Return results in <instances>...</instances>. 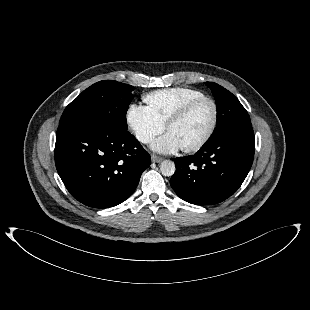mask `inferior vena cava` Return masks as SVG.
I'll return each instance as SVG.
<instances>
[{
	"mask_svg": "<svg viewBox=\"0 0 310 310\" xmlns=\"http://www.w3.org/2000/svg\"><path fill=\"white\" fill-rule=\"evenodd\" d=\"M140 141H141V142H144V143H148V142L151 141V137H150V136L141 137V138H140Z\"/></svg>",
	"mask_w": 310,
	"mask_h": 310,
	"instance_id": "inferior-vena-cava-1",
	"label": "inferior vena cava"
}]
</instances>
